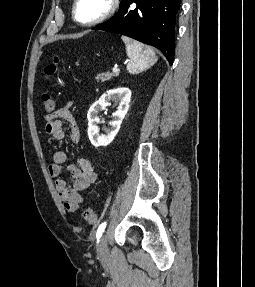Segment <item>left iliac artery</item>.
<instances>
[{"instance_id":"44dca946","label":"left iliac artery","mask_w":255,"mask_h":287,"mask_svg":"<svg viewBox=\"0 0 255 287\" xmlns=\"http://www.w3.org/2000/svg\"><path fill=\"white\" fill-rule=\"evenodd\" d=\"M106 227V222L102 223L96 233V237H97V242H99L100 237L102 236V233L104 232V229Z\"/></svg>"}]
</instances>
